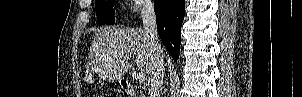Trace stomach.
Returning a JSON list of instances; mask_svg holds the SVG:
<instances>
[{"label":"stomach","instance_id":"0dacf381","mask_svg":"<svg viewBox=\"0 0 302 97\" xmlns=\"http://www.w3.org/2000/svg\"><path fill=\"white\" fill-rule=\"evenodd\" d=\"M121 83H124V81L120 79V84H121Z\"/></svg>","mask_w":302,"mask_h":97}]
</instances>
